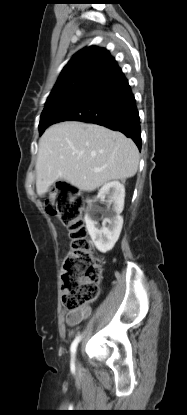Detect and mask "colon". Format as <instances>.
<instances>
[{"instance_id": "1", "label": "colon", "mask_w": 187, "mask_h": 415, "mask_svg": "<svg viewBox=\"0 0 187 415\" xmlns=\"http://www.w3.org/2000/svg\"><path fill=\"white\" fill-rule=\"evenodd\" d=\"M83 206L84 197L79 188L68 182L54 185L45 203L46 211L61 221L71 238V249L61 275L62 301L70 311L81 309L97 298L103 264L91 251L82 218Z\"/></svg>"}]
</instances>
